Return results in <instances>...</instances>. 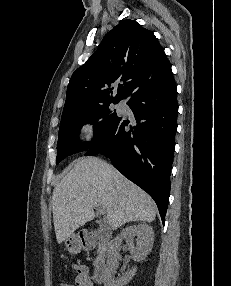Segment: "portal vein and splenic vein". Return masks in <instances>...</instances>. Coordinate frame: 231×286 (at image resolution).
Instances as JSON below:
<instances>
[{
    "label": "portal vein and splenic vein",
    "instance_id": "obj_1",
    "mask_svg": "<svg viewBox=\"0 0 231 286\" xmlns=\"http://www.w3.org/2000/svg\"><path fill=\"white\" fill-rule=\"evenodd\" d=\"M97 213H98L99 215H104V214L106 213V211H105L104 208L99 207V208L97 209Z\"/></svg>",
    "mask_w": 231,
    "mask_h": 286
}]
</instances>
